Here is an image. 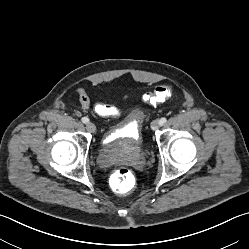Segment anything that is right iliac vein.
<instances>
[{
  "instance_id": "63e3f726",
  "label": "right iliac vein",
  "mask_w": 249,
  "mask_h": 249,
  "mask_svg": "<svg viewBox=\"0 0 249 249\" xmlns=\"http://www.w3.org/2000/svg\"><path fill=\"white\" fill-rule=\"evenodd\" d=\"M86 129L92 133L96 132V126L92 122L86 124Z\"/></svg>"
}]
</instances>
